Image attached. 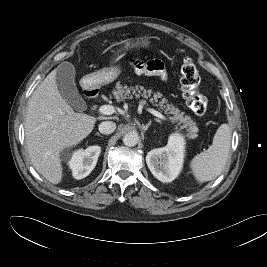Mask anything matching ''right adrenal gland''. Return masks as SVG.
Segmentation results:
<instances>
[{
	"label": "right adrenal gland",
	"mask_w": 267,
	"mask_h": 267,
	"mask_svg": "<svg viewBox=\"0 0 267 267\" xmlns=\"http://www.w3.org/2000/svg\"><path fill=\"white\" fill-rule=\"evenodd\" d=\"M97 136H100V137H102V136L100 135V133H97Z\"/></svg>",
	"instance_id": "obj_1"
}]
</instances>
